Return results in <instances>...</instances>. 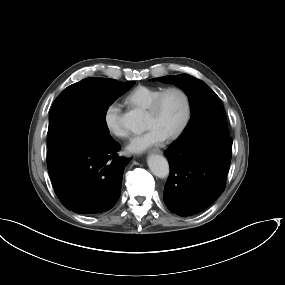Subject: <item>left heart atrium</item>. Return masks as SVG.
<instances>
[{
  "label": "left heart atrium",
  "instance_id": "1",
  "mask_svg": "<svg viewBox=\"0 0 285 285\" xmlns=\"http://www.w3.org/2000/svg\"><path fill=\"white\" fill-rule=\"evenodd\" d=\"M165 138L166 136L162 132L152 127L144 134L134 136L127 145V150L132 153H140L153 145L159 144Z\"/></svg>",
  "mask_w": 285,
  "mask_h": 285
}]
</instances>
